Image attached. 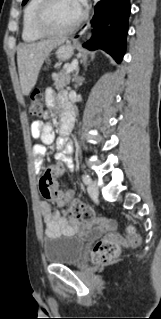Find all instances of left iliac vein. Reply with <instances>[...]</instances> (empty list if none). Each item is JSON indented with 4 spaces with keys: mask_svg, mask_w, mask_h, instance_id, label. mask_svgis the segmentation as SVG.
Returning a JSON list of instances; mask_svg holds the SVG:
<instances>
[{
    "mask_svg": "<svg viewBox=\"0 0 161 319\" xmlns=\"http://www.w3.org/2000/svg\"><path fill=\"white\" fill-rule=\"evenodd\" d=\"M88 193L92 198H97L99 194L98 186L95 181H91L88 185Z\"/></svg>",
    "mask_w": 161,
    "mask_h": 319,
    "instance_id": "1",
    "label": "left iliac vein"
}]
</instances>
